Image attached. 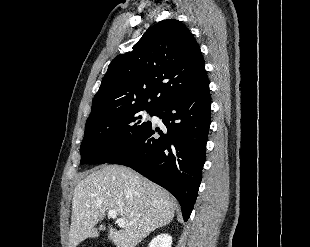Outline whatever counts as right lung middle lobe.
I'll return each mask as SVG.
<instances>
[{"instance_id":"1","label":"right lung middle lobe","mask_w":310,"mask_h":247,"mask_svg":"<svg viewBox=\"0 0 310 247\" xmlns=\"http://www.w3.org/2000/svg\"><path fill=\"white\" fill-rule=\"evenodd\" d=\"M154 115L156 110L132 108L98 116L86 122L80 146L81 164H104L131 147L150 125L142 111Z\"/></svg>"}]
</instances>
